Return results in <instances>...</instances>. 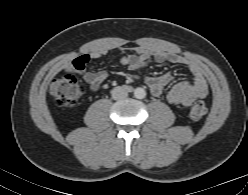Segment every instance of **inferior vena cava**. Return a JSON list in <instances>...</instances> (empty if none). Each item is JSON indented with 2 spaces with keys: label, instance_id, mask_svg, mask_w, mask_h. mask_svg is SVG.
Listing matches in <instances>:
<instances>
[{
  "label": "inferior vena cava",
  "instance_id": "obj_1",
  "mask_svg": "<svg viewBox=\"0 0 248 195\" xmlns=\"http://www.w3.org/2000/svg\"><path fill=\"white\" fill-rule=\"evenodd\" d=\"M128 96L127 90L122 86H117L112 90V98L114 100H121Z\"/></svg>",
  "mask_w": 248,
  "mask_h": 195
}]
</instances>
